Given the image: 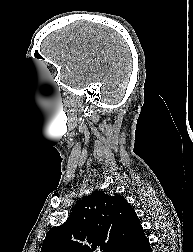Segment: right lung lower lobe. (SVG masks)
<instances>
[{
    "instance_id": "98d812e1",
    "label": "right lung lower lobe",
    "mask_w": 193,
    "mask_h": 252,
    "mask_svg": "<svg viewBox=\"0 0 193 252\" xmlns=\"http://www.w3.org/2000/svg\"><path fill=\"white\" fill-rule=\"evenodd\" d=\"M122 252H152L149 241L144 235L143 229L136 234L133 240L124 250H122Z\"/></svg>"
}]
</instances>
